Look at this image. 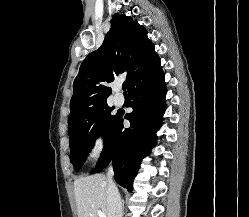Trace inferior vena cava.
Masks as SVG:
<instances>
[{"mask_svg": "<svg viewBox=\"0 0 249 217\" xmlns=\"http://www.w3.org/2000/svg\"><path fill=\"white\" fill-rule=\"evenodd\" d=\"M113 176V169L109 167L107 172V205L109 217H122V202L118 189L113 182Z\"/></svg>", "mask_w": 249, "mask_h": 217, "instance_id": "602c4592", "label": "inferior vena cava"}]
</instances>
